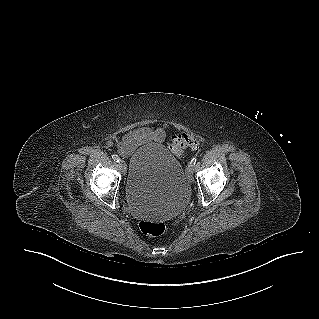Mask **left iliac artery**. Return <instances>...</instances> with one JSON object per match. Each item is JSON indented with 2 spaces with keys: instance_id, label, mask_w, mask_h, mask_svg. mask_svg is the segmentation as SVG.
Wrapping results in <instances>:
<instances>
[{
  "instance_id": "obj_1",
  "label": "left iliac artery",
  "mask_w": 319,
  "mask_h": 319,
  "mask_svg": "<svg viewBox=\"0 0 319 319\" xmlns=\"http://www.w3.org/2000/svg\"><path fill=\"white\" fill-rule=\"evenodd\" d=\"M196 162H197V157H194V158H192L190 165L194 167Z\"/></svg>"
}]
</instances>
